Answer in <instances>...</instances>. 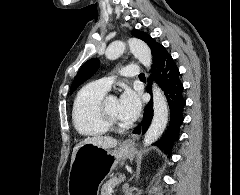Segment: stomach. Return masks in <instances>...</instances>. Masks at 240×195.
Instances as JSON below:
<instances>
[{
    "label": "stomach",
    "instance_id": "0dacf381",
    "mask_svg": "<svg viewBox=\"0 0 240 195\" xmlns=\"http://www.w3.org/2000/svg\"><path fill=\"white\" fill-rule=\"evenodd\" d=\"M135 145L105 149L95 143H84L77 149L68 175V195H99L104 179L121 159L128 157Z\"/></svg>",
    "mask_w": 240,
    "mask_h": 195
}]
</instances>
